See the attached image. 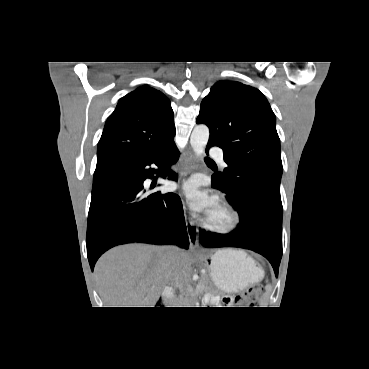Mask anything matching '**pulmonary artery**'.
I'll list each match as a JSON object with an SVG mask.
<instances>
[{
  "label": "pulmonary artery",
  "instance_id": "pulmonary-artery-1",
  "mask_svg": "<svg viewBox=\"0 0 369 369\" xmlns=\"http://www.w3.org/2000/svg\"><path fill=\"white\" fill-rule=\"evenodd\" d=\"M210 154L216 158L218 160V162L222 165V166H226V163L224 161V157H223V153L219 148H212L210 150Z\"/></svg>",
  "mask_w": 369,
  "mask_h": 369
}]
</instances>
